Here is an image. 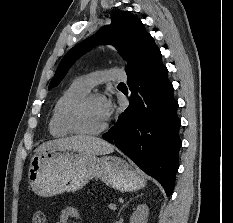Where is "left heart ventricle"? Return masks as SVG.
<instances>
[{"label":"left heart ventricle","mask_w":233,"mask_h":223,"mask_svg":"<svg viewBox=\"0 0 233 223\" xmlns=\"http://www.w3.org/2000/svg\"><path fill=\"white\" fill-rule=\"evenodd\" d=\"M79 123L86 131H96L106 123L101 115L100 98L88 102L80 113Z\"/></svg>","instance_id":"b2bd125f"}]
</instances>
